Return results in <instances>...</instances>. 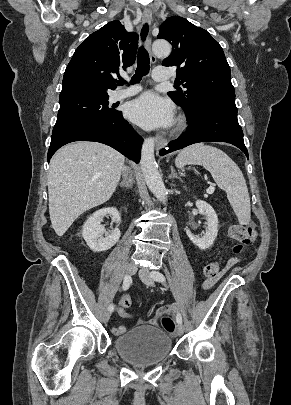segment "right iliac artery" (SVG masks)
<instances>
[{
	"label": "right iliac artery",
	"mask_w": 291,
	"mask_h": 405,
	"mask_svg": "<svg viewBox=\"0 0 291 405\" xmlns=\"http://www.w3.org/2000/svg\"><path fill=\"white\" fill-rule=\"evenodd\" d=\"M131 283H132L131 277L129 275H126L123 281L122 289L126 291L130 287ZM108 310L112 312L114 310V305L110 304Z\"/></svg>",
	"instance_id": "1"
}]
</instances>
